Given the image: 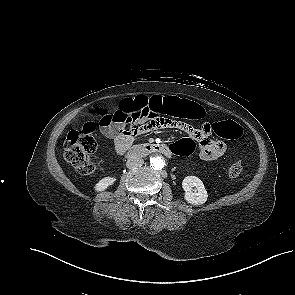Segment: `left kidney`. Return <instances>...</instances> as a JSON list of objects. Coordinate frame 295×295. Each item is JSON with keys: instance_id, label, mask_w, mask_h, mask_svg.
Masks as SVG:
<instances>
[{"instance_id": "left-kidney-1", "label": "left kidney", "mask_w": 295, "mask_h": 295, "mask_svg": "<svg viewBox=\"0 0 295 295\" xmlns=\"http://www.w3.org/2000/svg\"><path fill=\"white\" fill-rule=\"evenodd\" d=\"M185 191L184 199L194 206L202 205L207 201V191L203 182L196 176H187L182 181Z\"/></svg>"}]
</instances>
